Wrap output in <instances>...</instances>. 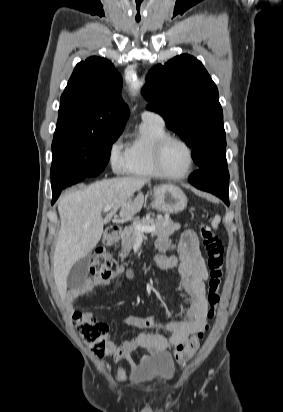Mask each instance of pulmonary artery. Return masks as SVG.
<instances>
[{"mask_svg": "<svg viewBox=\"0 0 283 412\" xmlns=\"http://www.w3.org/2000/svg\"><path fill=\"white\" fill-rule=\"evenodd\" d=\"M141 117H142L143 122L150 121V122L164 125L163 117L156 112L146 110L142 113Z\"/></svg>", "mask_w": 283, "mask_h": 412, "instance_id": "e3ab8cb5", "label": "pulmonary artery"}]
</instances>
